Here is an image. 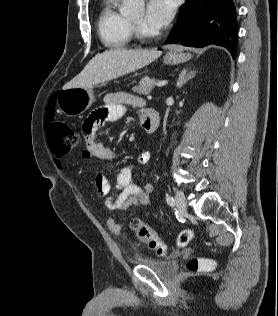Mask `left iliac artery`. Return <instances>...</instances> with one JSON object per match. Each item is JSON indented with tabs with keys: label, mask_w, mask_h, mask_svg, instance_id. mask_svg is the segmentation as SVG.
Returning a JSON list of instances; mask_svg holds the SVG:
<instances>
[{
	"label": "left iliac artery",
	"mask_w": 278,
	"mask_h": 316,
	"mask_svg": "<svg viewBox=\"0 0 278 316\" xmlns=\"http://www.w3.org/2000/svg\"><path fill=\"white\" fill-rule=\"evenodd\" d=\"M166 202L170 205V206H174L175 202L172 196L166 194Z\"/></svg>",
	"instance_id": "44dca946"
}]
</instances>
